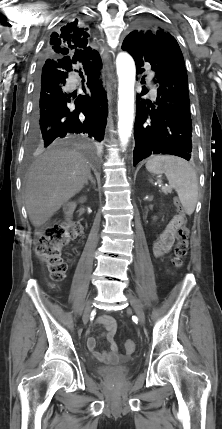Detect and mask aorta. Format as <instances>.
Listing matches in <instances>:
<instances>
[{"mask_svg": "<svg viewBox=\"0 0 222 429\" xmlns=\"http://www.w3.org/2000/svg\"><path fill=\"white\" fill-rule=\"evenodd\" d=\"M118 75V133L121 145L125 147L133 128L134 121V85L136 68L132 57L120 53L116 58Z\"/></svg>", "mask_w": 222, "mask_h": 429, "instance_id": "aorta-1", "label": "aorta"}]
</instances>
